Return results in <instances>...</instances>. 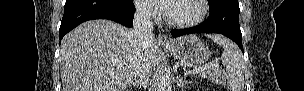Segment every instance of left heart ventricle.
I'll return each mask as SVG.
<instances>
[{"label": "left heart ventricle", "mask_w": 304, "mask_h": 91, "mask_svg": "<svg viewBox=\"0 0 304 91\" xmlns=\"http://www.w3.org/2000/svg\"><path fill=\"white\" fill-rule=\"evenodd\" d=\"M199 13L200 6L197 0H175L168 2L167 14L175 21L192 20Z\"/></svg>", "instance_id": "obj_1"}]
</instances>
